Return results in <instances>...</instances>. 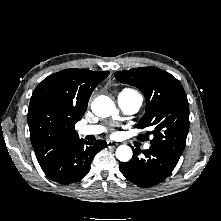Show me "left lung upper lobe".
<instances>
[{"instance_id": "obj_1", "label": "left lung upper lobe", "mask_w": 221, "mask_h": 221, "mask_svg": "<svg viewBox=\"0 0 221 221\" xmlns=\"http://www.w3.org/2000/svg\"><path fill=\"white\" fill-rule=\"evenodd\" d=\"M118 81L139 88L146 99V113L139 128L151 127L142 140L152 146L182 154L189 131V103L181 83L170 73L156 67L133 68L117 71Z\"/></svg>"}]
</instances>
